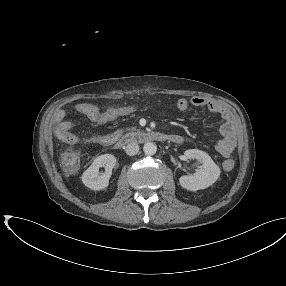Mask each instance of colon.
Segmentation results:
<instances>
[{"mask_svg":"<svg viewBox=\"0 0 286 286\" xmlns=\"http://www.w3.org/2000/svg\"><path fill=\"white\" fill-rule=\"evenodd\" d=\"M66 142L67 141H65V143ZM61 161L66 169L74 170L79 164L80 155L74 149L69 148L63 153ZM233 165H234V161L232 159H229L225 162L224 167L225 169L229 170L233 167Z\"/></svg>","mask_w":286,"mask_h":286,"instance_id":"1","label":"colon"}]
</instances>
